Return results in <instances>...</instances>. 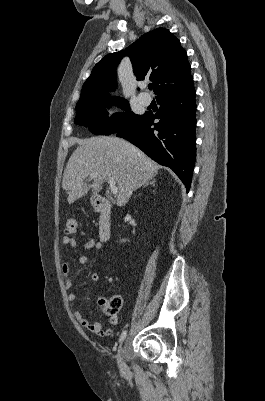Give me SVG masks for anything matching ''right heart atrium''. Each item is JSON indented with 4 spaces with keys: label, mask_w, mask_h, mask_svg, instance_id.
Masks as SVG:
<instances>
[{
    "label": "right heart atrium",
    "mask_w": 265,
    "mask_h": 401,
    "mask_svg": "<svg viewBox=\"0 0 265 401\" xmlns=\"http://www.w3.org/2000/svg\"><path fill=\"white\" fill-rule=\"evenodd\" d=\"M117 110L116 109H108L106 111V116L109 119H113L116 116Z\"/></svg>",
    "instance_id": "1"
}]
</instances>
